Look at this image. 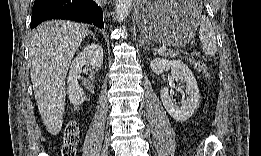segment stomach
Instances as JSON below:
<instances>
[{
    "label": "stomach",
    "instance_id": "stomach-1",
    "mask_svg": "<svg viewBox=\"0 0 261 156\" xmlns=\"http://www.w3.org/2000/svg\"><path fill=\"white\" fill-rule=\"evenodd\" d=\"M200 15L194 2L143 1L135 10L138 28L147 39L175 47L194 37Z\"/></svg>",
    "mask_w": 261,
    "mask_h": 156
}]
</instances>
